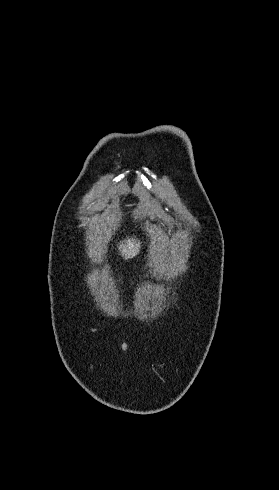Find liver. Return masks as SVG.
Wrapping results in <instances>:
<instances>
[{
  "label": "liver",
  "instance_id": "1",
  "mask_svg": "<svg viewBox=\"0 0 279 490\" xmlns=\"http://www.w3.org/2000/svg\"><path fill=\"white\" fill-rule=\"evenodd\" d=\"M140 242L138 240H134V238H127L125 242H121L119 246L120 256L124 258V260H130V258H135L138 256L140 252Z\"/></svg>",
  "mask_w": 279,
  "mask_h": 490
}]
</instances>
